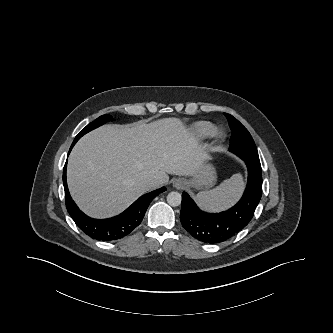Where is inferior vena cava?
<instances>
[{
	"label": "inferior vena cava",
	"mask_w": 333,
	"mask_h": 333,
	"mask_svg": "<svg viewBox=\"0 0 333 333\" xmlns=\"http://www.w3.org/2000/svg\"><path fill=\"white\" fill-rule=\"evenodd\" d=\"M147 183L150 185H154L156 183V181L154 179H148Z\"/></svg>",
	"instance_id": "inferior-vena-cava-1"
}]
</instances>
